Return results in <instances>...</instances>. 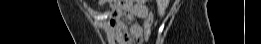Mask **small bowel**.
Here are the masks:
<instances>
[{
	"instance_id": "1",
	"label": "small bowel",
	"mask_w": 261,
	"mask_h": 44,
	"mask_svg": "<svg viewBox=\"0 0 261 44\" xmlns=\"http://www.w3.org/2000/svg\"><path fill=\"white\" fill-rule=\"evenodd\" d=\"M110 18L106 23L109 40L114 44H140L142 43V26L135 22L129 27L131 20L141 21L147 16L146 2L136 1V6H113Z\"/></svg>"
}]
</instances>
